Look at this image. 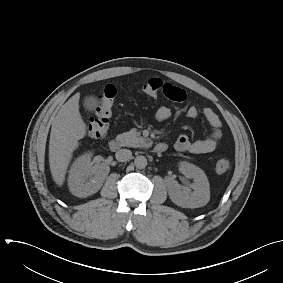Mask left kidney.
<instances>
[{"label": "left kidney", "instance_id": "left-kidney-1", "mask_svg": "<svg viewBox=\"0 0 283 283\" xmlns=\"http://www.w3.org/2000/svg\"><path fill=\"white\" fill-rule=\"evenodd\" d=\"M180 167L182 173L187 178H192L194 182L190 187H183L176 180L168 178L167 187L170 199L183 208L205 206L210 200V187L206 174L199 167L187 162H182Z\"/></svg>", "mask_w": 283, "mask_h": 283}]
</instances>
